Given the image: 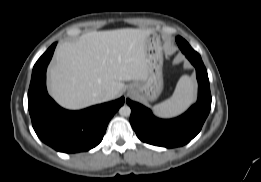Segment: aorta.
Returning a JSON list of instances; mask_svg holds the SVG:
<instances>
[{
    "mask_svg": "<svg viewBox=\"0 0 261 182\" xmlns=\"http://www.w3.org/2000/svg\"><path fill=\"white\" fill-rule=\"evenodd\" d=\"M119 114L121 116H124V117H128L130 116L131 114V109L128 105H123L120 109H119Z\"/></svg>",
    "mask_w": 261,
    "mask_h": 182,
    "instance_id": "1",
    "label": "aorta"
}]
</instances>
